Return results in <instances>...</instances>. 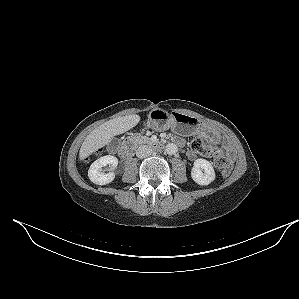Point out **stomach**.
Here are the masks:
<instances>
[{"label":"stomach","instance_id":"0dacf381","mask_svg":"<svg viewBox=\"0 0 299 299\" xmlns=\"http://www.w3.org/2000/svg\"><path fill=\"white\" fill-rule=\"evenodd\" d=\"M147 126L157 131L169 128L184 134H194L198 131L199 124L186 114L173 112L167 113L162 109L155 108L148 115Z\"/></svg>","mask_w":299,"mask_h":299}]
</instances>
